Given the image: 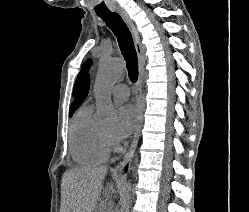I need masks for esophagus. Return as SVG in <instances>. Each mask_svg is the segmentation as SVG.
I'll use <instances>...</instances> for the list:
<instances>
[{"label":"esophagus","instance_id":"1","mask_svg":"<svg viewBox=\"0 0 249 212\" xmlns=\"http://www.w3.org/2000/svg\"><path fill=\"white\" fill-rule=\"evenodd\" d=\"M114 12H117L121 17L128 23V25L131 28L133 39H134V45L138 56L139 61V78L138 82L136 84V93H135V103L137 107V114H138V120L136 129L134 132V138L133 141L128 149V152L125 154L122 161H120L116 167L111 169L112 173H120L122 172L123 168L129 161V159L132 158L137 144L139 140V136L141 133V129L143 127V99H142V86H143V79H144V73H145V62H146V55H145V47L141 42L140 34L138 30L136 29L134 23L129 18L128 14L125 12V10L122 7H116L114 9Z\"/></svg>","mask_w":249,"mask_h":212}]
</instances>
